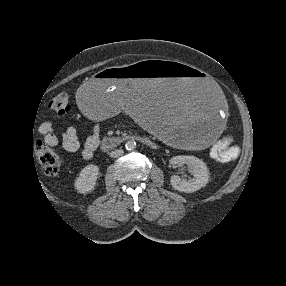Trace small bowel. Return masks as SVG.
<instances>
[{
    "label": "small bowel",
    "mask_w": 286,
    "mask_h": 286,
    "mask_svg": "<svg viewBox=\"0 0 286 286\" xmlns=\"http://www.w3.org/2000/svg\"><path fill=\"white\" fill-rule=\"evenodd\" d=\"M38 131L44 137V140L48 145L54 146L58 143L59 139L55 134L51 123L44 122L40 124ZM99 134V125L95 124L92 128V133L84 140V142H81L78 138L77 129L73 126H69L64 129L62 133L61 144L65 151L69 153L79 152L83 159L88 160L93 157L95 151L99 147ZM229 152L232 154L230 159H234L238 155V148L230 146Z\"/></svg>",
    "instance_id": "c3829d8e"
}]
</instances>
